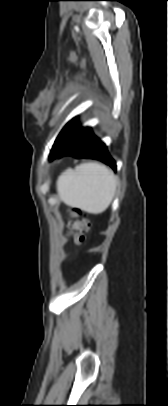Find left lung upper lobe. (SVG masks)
<instances>
[{
    "instance_id": "1",
    "label": "left lung upper lobe",
    "mask_w": 168,
    "mask_h": 406,
    "mask_svg": "<svg viewBox=\"0 0 168 406\" xmlns=\"http://www.w3.org/2000/svg\"><path fill=\"white\" fill-rule=\"evenodd\" d=\"M76 120H77V117L73 118L70 122H68L65 125V127L62 129V131L58 135V137L53 145L52 151L64 144L68 143L69 141H71L74 137H76L80 133V131L83 128L79 127L76 124Z\"/></svg>"
}]
</instances>
